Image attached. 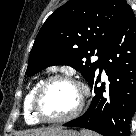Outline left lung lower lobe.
I'll return each instance as SVG.
<instances>
[{
  "mask_svg": "<svg viewBox=\"0 0 136 136\" xmlns=\"http://www.w3.org/2000/svg\"><path fill=\"white\" fill-rule=\"evenodd\" d=\"M97 72L88 82L94 89L89 109L63 126L93 130L103 136H130L136 108V19L130 8L106 48ZM102 69L108 82L97 87Z\"/></svg>",
  "mask_w": 136,
  "mask_h": 136,
  "instance_id": "0a47b994",
  "label": "left lung lower lobe"
}]
</instances>
